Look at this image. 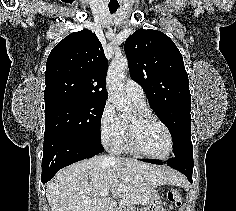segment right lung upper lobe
Here are the masks:
<instances>
[{
  "label": "right lung upper lobe",
  "instance_id": "right-lung-upper-lobe-1",
  "mask_svg": "<svg viewBox=\"0 0 236 211\" xmlns=\"http://www.w3.org/2000/svg\"><path fill=\"white\" fill-rule=\"evenodd\" d=\"M108 63L95 33L74 32L50 52L45 71V106L76 99L105 101Z\"/></svg>",
  "mask_w": 236,
  "mask_h": 211
}]
</instances>
